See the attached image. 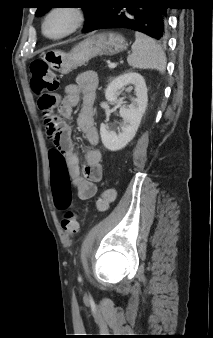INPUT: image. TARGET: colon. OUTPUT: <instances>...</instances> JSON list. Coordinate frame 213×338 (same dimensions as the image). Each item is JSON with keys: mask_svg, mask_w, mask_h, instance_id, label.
I'll return each instance as SVG.
<instances>
[{"mask_svg": "<svg viewBox=\"0 0 213 338\" xmlns=\"http://www.w3.org/2000/svg\"><path fill=\"white\" fill-rule=\"evenodd\" d=\"M30 70L32 73L31 87L33 92L38 96V108L46 126L49 127L53 135V143L57 146L62 136L57 128L52 112L56 104L54 94L59 89L58 77L50 70L48 64L41 59L32 61ZM56 176L53 183L54 204L58 209L66 210L61 221V226L65 235L72 237L78 233L79 218L74 211L68 209L72 202V192L67 185L65 175ZM114 198L115 192L113 190L104 191L96 200L97 209L99 211H106Z\"/></svg>", "mask_w": 213, "mask_h": 338, "instance_id": "obj_1", "label": "colon"}]
</instances>
